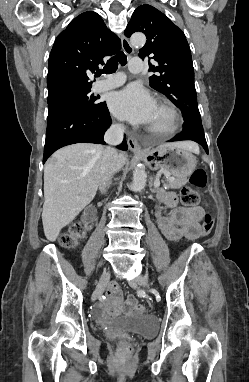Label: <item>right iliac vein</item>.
Listing matches in <instances>:
<instances>
[{"label": "right iliac vein", "mask_w": 249, "mask_h": 382, "mask_svg": "<svg viewBox=\"0 0 249 382\" xmlns=\"http://www.w3.org/2000/svg\"><path fill=\"white\" fill-rule=\"evenodd\" d=\"M108 280H109V272L106 271V272H104L102 274V276H101V278H100V280L98 282V285L96 287V292L97 293H101L104 290Z\"/></svg>", "instance_id": "right-iliac-vein-1"}]
</instances>
